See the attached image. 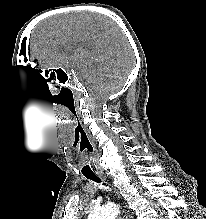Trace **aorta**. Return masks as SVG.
<instances>
[{
	"instance_id": "obj_1",
	"label": "aorta",
	"mask_w": 206,
	"mask_h": 219,
	"mask_svg": "<svg viewBox=\"0 0 206 219\" xmlns=\"http://www.w3.org/2000/svg\"><path fill=\"white\" fill-rule=\"evenodd\" d=\"M118 208L116 205L108 204L101 208L94 209L88 219H116Z\"/></svg>"
}]
</instances>
